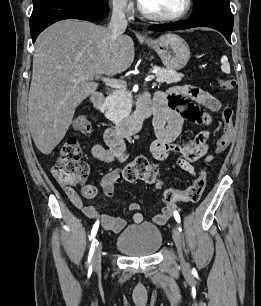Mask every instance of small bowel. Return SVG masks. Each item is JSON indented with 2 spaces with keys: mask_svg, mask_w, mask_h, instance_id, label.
I'll return each mask as SVG.
<instances>
[{
  "mask_svg": "<svg viewBox=\"0 0 261 306\" xmlns=\"http://www.w3.org/2000/svg\"><path fill=\"white\" fill-rule=\"evenodd\" d=\"M143 101L151 105L154 114L153 127L156 140L150 147L152 156L158 161L171 163L172 167L195 175L193 166L195 161L209 162L212 159L208 147L210 132L203 130L180 144L176 143V139L181 133L185 120L197 125L212 124L211 115L200 107L215 112L221 108L220 101L210 93L190 85L173 88L168 93L156 92L152 101L148 96H144ZM171 154L178 155V158L172 161ZM91 155L107 163L123 161L126 157L124 139L109 130L105 134V145L94 144L91 148ZM118 171L111 172L103 179L102 186L109 197L114 195L115 185L119 183L112 179V176ZM88 189H94V187L84 186L82 193L85 196ZM66 192L77 209L88 218L99 221L106 231L119 233L125 228L126 222L123 219L101 213L94 206L84 204L82 198L73 189H66ZM174 209V205H166L160 213L153 217V222L157 225H164L172 217ZM131 210L134 212V223L140 224L143 221V215L138 211V205L132 204Z\"/></svg>",
  "mask_w": 261,
  "mask_h": 306,
  "instance_id": "c3829d8e",
  "label": "small bowel"
}]
</instances>
